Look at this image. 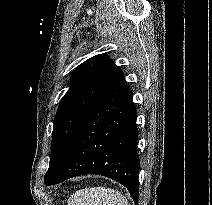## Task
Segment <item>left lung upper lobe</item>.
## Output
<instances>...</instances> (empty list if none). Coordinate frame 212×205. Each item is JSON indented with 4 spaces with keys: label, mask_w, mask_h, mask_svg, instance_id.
I'll use <instances>...</instances> for the list:
<instances>
[{
    "label": "left lung upper lobe",
    "mask_w": 212,
    "mask_h": 205,
    "mask_svg": "<svg viewBox=\"0 0 212 205\" xmlns=\"http://www.w3.org/2000/svg\"><path fill=\"white\" fill-rule=\"evenodd\" d=\"M118 71L108 56L100 54L83 62L73 72L70 88L54 119L49 169L44 178L46 185H51L57 178L83 120Z\"/></svg>",
    "instance_id": "obj_1"
}]
</instances>
